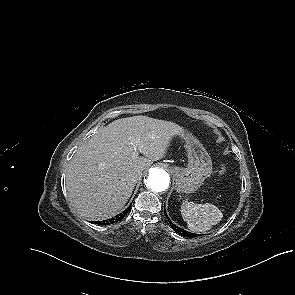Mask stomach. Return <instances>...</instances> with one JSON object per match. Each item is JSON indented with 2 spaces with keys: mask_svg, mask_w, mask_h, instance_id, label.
I'll use <instances>...</instances> for the list:
<instances>
[{
  "mask_svg": "<svg viewBox=\"0 0 295 295\" xmlns=\"http://www.w3.org/2000/svg\"><path fill=\"white\" fill-rule=\"evenodd\" d=\"M188 165L186 168L174 167L172 173L176 190L181 193H193L212 173V161L205 148L193 138H187Z\"/></svg>",
  "mask_w": 295,
  "mask_h": 295,
  "instance_id": "stomach-1",
  "label": "stomach"
}]
</instances>
